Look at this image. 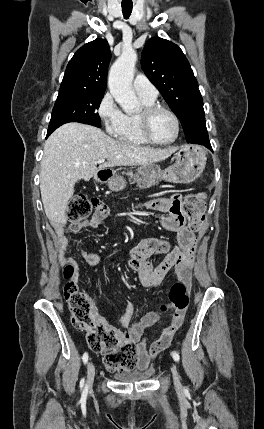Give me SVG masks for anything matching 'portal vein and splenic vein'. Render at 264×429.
Wrapping results in <instances>:
<instances>
[{"mask_svg":"<svg viewBox=\"0 0 264 429\" xmlns=\"http://www.w3.org/2000/svg\"><path fill=\"white\" fill-rule=\"evenodd\" d=\"M104 161H105L104 159H100L98 162L103 163Z\"/></svg>","mask_w":264,"mask_h":429,"instance_id":"portal-vein-and-splenic-vein-1","label":"portal vein and splenic vein"}]
</instances>
